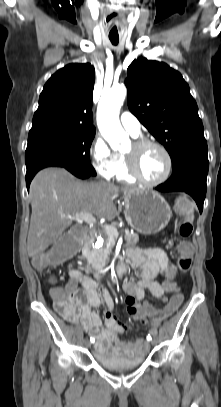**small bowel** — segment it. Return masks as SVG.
Instances as JSON below:
<instances>
[{
    "label": "small bowel",
    "instance_id": "c3829d8e",
    "mask_svg": "<svg viewBox=\"0 0 221 407\" xmlns=\"http://www.w3.org/2000/svg\"><path fill=\"white\" fill-rule=\"evenodd\" d=\"M127 255L136 266L142 269L136 282L126 281L123 286L127 294L125 303L129 314L132 310H135L137 305H151L141 303L146 292L164 305H167L170 300L165 297L166 294L172 295L174 292H180L177 284L175 286H166L164 284L166 266L175 265L164 250L157 247L146 249L129 248ZM79 261L80 257L70 262L68 266L70 278L67 284L68 288L78 294L79 300L69 313L63 315V317L71 323L81 324L85 332L94 338V348L99 353L123 354L127 357L143 354L147 344L142 340L130 343L119 339L118 335L128 330L129 326L116 318L113 313L114 302L111 295L96 280L81 272L77 267ZM159 276L163 278L162 282L157 280ZM79 286L81 289L78 288ZM100 293L107 307L104 312L105 327L102 326L101 318L95 311L101 306ZM131 318L136 322L134 317L131 316ZM157 325V321L152 322L151 329L155 330Z\"/></svg>",
    "mask_w": 221,
    "mask_h": 407
}]
</instances>
